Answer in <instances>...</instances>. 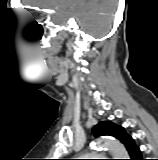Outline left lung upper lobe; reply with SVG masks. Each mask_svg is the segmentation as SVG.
Masks as SVG:
<instances>
[{
	"mask_svg": "<svg viewBox=\"0 0 158 160\" xmlns=\"http://www.w3.org/2000/svg\"><path fill=\"white\" fill-rule=\"evenodd\" d=\"M94 136H112L120 140L122 143L125 138L128 136L123 127H120L110 121H101L99 122L92 130Z\"/></svg>",
	"mask_w": 158,
	"mask_h": 160,
	"instance_id": "left-lung-upper-lobe-1",
	"label": "left lung upper lobe"
}]
</instances>
